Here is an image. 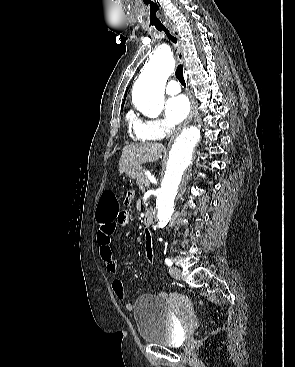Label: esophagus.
<instances>
[{
    "instance_id": "esophagus-1",
    "label": "esophagus",
    "mask_w": 295,
    "mask_h": 367,
    "mask_svg": "<svg viewBox=\"0 0 295 367\" xmlns=\"http://www.w3.org/2000/svg\"><path fill=\"white\" fill-rule=\"evenodd\" d=\"M170 32L173 34L174 37H176L177 39V57L179 59V61L181 63H184V51H183V47L181 44V39L178 33V30L175 26H170ZM195 102L194 99H192V105H191V110L190 113L188 115V117L186 118V120L177 128L176 132L174 133V135L171 137L170 141H169V145L171 144V142L175 139V137L178 135V133L181 131V129L183 127H185L193 118L194 112H195Z\"/></svg>"
}]
</instances>
